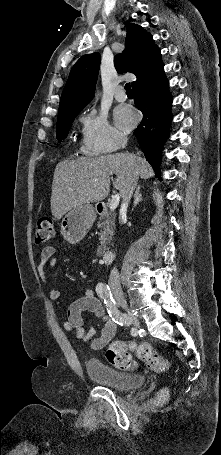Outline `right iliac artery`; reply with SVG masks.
Here are the masks:
<instances>
[{
	"instance_id": "82829eb1",
	"label": "right iliac artery",
	"mask_w": 221,
	"mask_h": 455,
	"mask_svg": "<svg viewBox=\"0 0 221 455\" xmlns=\"http://www.w3.org/2000/svg\"><path fill=\"white\" fill-rule=\"evenodd\" d=\"M96 292L98 296L104 300V303L107 306V311L109 313V316L112 318L114 322H116L119 325H128V317L125 314H122L117 306L116 303L112 297L111 290L108 285H105L103 283H98L96 286ZM131 337H137L138 336V330L137 329H131L130 333Z\"/></svg>"
}]
</instances>
